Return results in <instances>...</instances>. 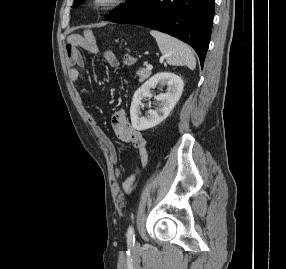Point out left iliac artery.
Returning <instances> with one entry per match:
<instances>
[{
  "instance_id": "left-iliac-artery-1",
  "label": "left iliac artery",
  "mask_w": 286,
  "mask_h": 269,
  "mask_svg": "<svg viewBox=\"0 0 286 269\" xmlns=\"http://www.w3.org/2000/svg\"><path fill=\"white\" fill-rule=\"evenodd\" d=\"M134 243H135L134 229L133 226H129L127 230V244L129 246H133Z\"/></svg>"
}]
</instances>
